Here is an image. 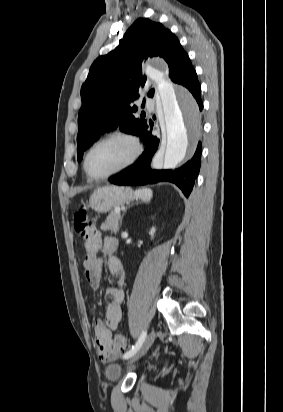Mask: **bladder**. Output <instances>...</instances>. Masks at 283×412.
<instances>
[{"label":"bladder","mask_w":283,"mask_h":412,"mask_svg":"<svg viewBox=\"0 0 283 412\" xmlns=\"http://www.w3.org/2000/svg\"><path fill=\"white\" fill-rule=\"evenodd\" d=\"M123 373V367L119 363L109 364L105 368V374L110 380H117Z\"/></svg>","instance_id":"bladder-1"}]
</instances>
